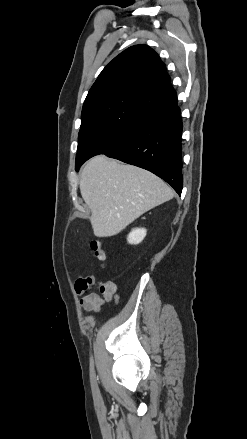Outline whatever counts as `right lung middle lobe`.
Returning <instances> with one entry per match:
<instances>
[{"instance_id": "right-lung-middle-lobe-1", "label": "right lung middle lobe", "mask_w": 247, "mask_h": 439, "mask_svg": "<svg viewBox=\"0 0 247 439\" xmlns=\"http://www.w3.org/2000/svg\"><path fill=\"white\" fill-rule=\"evenodd\" d=\"M151 114L129 101H110L82 111L76 170L89 158L121 143Z\"/></svg>"}]
</instances>
